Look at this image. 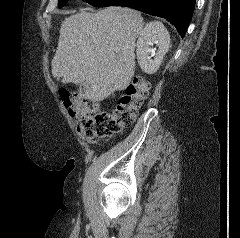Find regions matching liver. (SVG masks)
<instances>
[{
    "instance_id": "6515ba94",
    "label": "liver",
    "mask_w": 240,
    "mask_h": 238,
    "mask_svg": "<svg viewBox=\"0 0 240 238\" xmlns=\"http://www.w3.org/2000/svg\"><path fill=\"white\" fill-rule=\"evenodd\" d=\"M143 26L140 12L121 7L65 18L52 60L53 77L84 84L81 96L92 102L124 90L134 75L135 41Z\"/></svg>"
}]
</instances>
